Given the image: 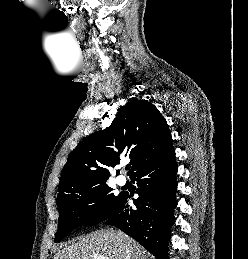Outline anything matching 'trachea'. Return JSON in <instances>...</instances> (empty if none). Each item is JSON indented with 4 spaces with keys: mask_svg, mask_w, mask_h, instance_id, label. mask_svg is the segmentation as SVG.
<instances>
[{
    "mask_svg": "<svg viewBox=\"0 0 248 259\" xmlns=\"http://www.w3.org/2000/svg\"><path fill=\"white\" fill-rule=\"evenodd\" d=\"M130 167H131V165H127V166H126V170H129Z\"/></svg>",
    "mask_w": 248,
    "mask_h": 259,
    "instance_id": "trachea-1",
    "label": "trachea"
}]
</instances>
